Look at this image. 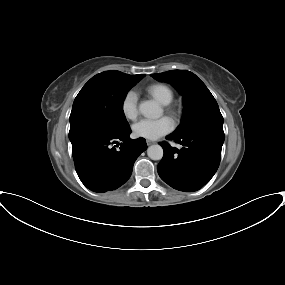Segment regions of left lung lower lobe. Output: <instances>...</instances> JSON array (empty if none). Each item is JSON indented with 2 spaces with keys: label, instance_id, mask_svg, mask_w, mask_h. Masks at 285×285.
Here are the masks:
<instances>
[{
  "label": "left lung lower lobe",
  "instance_id": "obj_1",
  "mask_svg": "<svg viewBox=\"0 0 285 285\" xmlns=\"http://www.w3.org/2000/svg\"><path fill=\"white\" fill-rule=\"evenodd\" d=\"M183 148L178 150L167 143H159L164 156L157 170L161 179L174 189L192 192L203 187L218 169L224 132L205 128L189 135L170 134Z\"/></svg>",
  "mask_w": 285,
  "mask_h": 285
}]
</instances>
